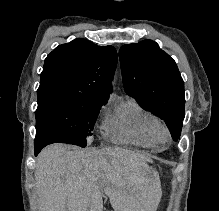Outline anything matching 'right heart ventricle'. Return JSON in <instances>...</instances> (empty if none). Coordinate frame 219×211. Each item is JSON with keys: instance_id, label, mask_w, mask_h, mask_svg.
I'll return each instance as SVG.
<instances>
[{"instance_id": "e07e8e85", "label": "right heart ventricle", "mask_w": 219, "mask_h": 211, "mask_svg": "<svg viewBox=\"0 0 219 211\" xmlns=\"http://www.w3.org/2000/svg\"><path fill=\"white\" fill-rule=\"evenodd\" d=\"M160 127L161 122L155 115L130 98L120 102L104 123V130L113 142L144 148L161 144Z\"/></svg>"}]
</instances>
